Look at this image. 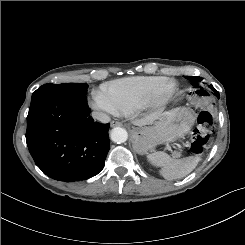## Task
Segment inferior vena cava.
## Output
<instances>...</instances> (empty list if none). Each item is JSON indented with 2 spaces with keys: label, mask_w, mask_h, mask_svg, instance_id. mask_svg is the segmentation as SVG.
I'll use <instances>...</instances> for the list:
<instances>
[{
  "label": "inferior vena cava",
  "mask_w": 245,
  "mask_h": 245,
  "mask_svg": "<svg viewBox=\"0 0 245 245\" xmlns=\"http://www.w3.org/2000/svg\"><path fill=\"white\" fill-rule=\"evenodd\" d=\"M92 117L95 120H98L102 123H108L110 121V117L108 115H106L105 113L102 112H92Z\"/></svg>",
  "instance_id": "obj_1"
}]
</instances>
